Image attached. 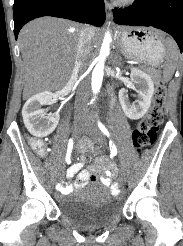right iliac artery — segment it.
Instances as JSON below:
<instances>
[{
  "label": "right iliac artery",
  "instance_id": "1",
  "mask_svg": "<svg viewBox=\"0 0 183 246\" xmlns=\"http://www.w3.org/2000/svg\"><path fill=\"white\" fill-rule=\"evenodd\" d=\"M72 148H73V140L72 138L69 140L68 142V149H67V155H66V161H70V156H71V151H72ZM56 188L58 189L59 186H56Z\"/></svg>",
  "mask_w": 183,
  "mask_h": 246
}]
</instances>
